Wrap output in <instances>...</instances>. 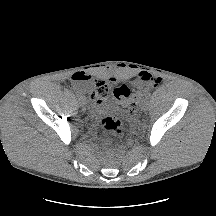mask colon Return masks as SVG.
I'll use <instances>...</instances> for the list:
<instances>
[{"label": "colon", "instance_id": "colon-1", "mask_svg": "<svg viewBox=\"0 0 216 216\" xmlns=\"http://www.w3.org/2000/svg\"><path fill=\"white\" fill-rule=\"evenodd\" d=\"M141 79L144 81H151L155 85L158 84V80L151 78L148 74H143ZM88 97L97 103L99 106H104L108 98L113 95V97L125 105L131 114L137 112L140 103L145 97V93L136 92L131 94L127 92L124 88L111 89L109 82L105 79L97 78L93 81V85L86 91ZM102 128L109 134L113 136H120L123 133V125L117 116H107L101 121Z\"/></svg>", "mask_w": 216, "mask_h": 216}]
</instances>
